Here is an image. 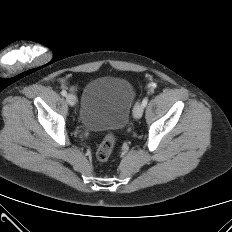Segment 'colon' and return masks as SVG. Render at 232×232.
<instances>
[{"mask_svg":"<svg viewBox=\"0 0 232 232\" xmlns=\"http://www.w3.org/2000/svg\"><path fill=\"white\" fill-rule=\"evenodd\" d=\"M115 144V138L112 134H108L104 137L102 142L99 144L96 156L100 161H106L112 154Z\"/></svg>","mask_w":232,"mask_h":232,"instance_id":"1","label":"colon"}]
</instances>
